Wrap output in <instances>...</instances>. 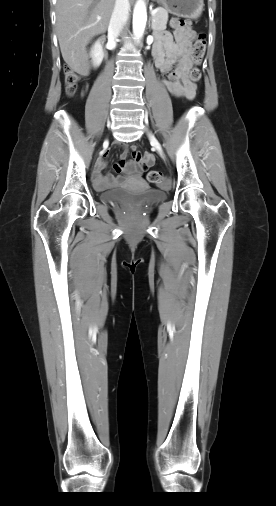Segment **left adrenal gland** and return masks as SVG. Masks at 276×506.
Segmentation results:
<instances>
[{"label": "left adrenal gland", "instance_id": "obj_1", "mask_svg": "<svg viewBox=\"0 0 276 506\" xmlns=\"http://www.w3.org/2000/svg\"><path fill=\"white\" fill-rule=\"evenodd\" d=\"M149 28H150V20H149Z\"/></svg>", "mask_w": 276, "mask_h": 506}]
</instances>
